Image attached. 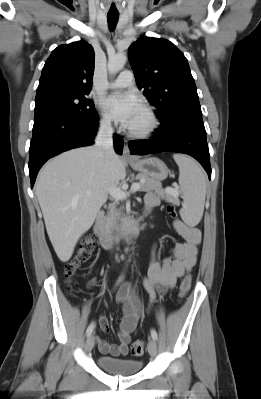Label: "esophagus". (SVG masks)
Returning <instances> with one entry per match:
<instances>
[{
    "label": "esophagus",
    "instance_id": "1",
    "mask_svg": "<svg viewBox=\"0 0 261 399\" xmlns=\"http://www.w3.org/2000/svg\"><path fill=\"white\" fill-rule=\"evenodd\" d=\"M122 156H123V158H126V159H134V156H132L131 153H130L127 140H124Z\"/></svg>",
    "mask_w": 261,
    "mask_h": 399
}]
</instances>
